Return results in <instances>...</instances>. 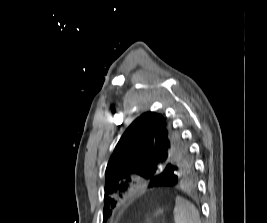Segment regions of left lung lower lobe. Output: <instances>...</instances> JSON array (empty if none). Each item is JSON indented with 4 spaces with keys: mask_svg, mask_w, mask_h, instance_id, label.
I'll list each match as a JSON object with an SVG mask.
<instances>
[{
    "mask_svg": "<svg viewBox=\"0 0 267 223\" xmlns=\"http://www.w3.org/2000/svg\"><path fill=\"white\" fill-rule=\"evenodd\" d=\"M197 171H164L163 173H153V179L149 183L151 192L170 195L179 194V190L195 189Z\"/></svg>",
    "mask_w": 267,
    "mask_h": 223,
    "instance_id": "1",
    "label": "left lung lower lobe"
}]
</instances>
